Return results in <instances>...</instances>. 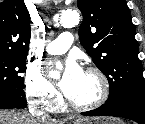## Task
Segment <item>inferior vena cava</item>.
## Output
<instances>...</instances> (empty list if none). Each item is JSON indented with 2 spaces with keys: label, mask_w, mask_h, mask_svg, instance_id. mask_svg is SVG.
I'll list each match as a JSON object with an SVG mask.
<instances>
[{
  "label": "inferior vena cava",
  "mask_w": 145,
  "mask_h": 124,
  "mask_svg": "<svg viewBox=\"0 0 145 124\" xmlns=\"http://www.w3.org/2000/svg\"><path fill=\"white\" fill-rule=\"evenodd\" d=\"M34 115H35V117H37V119H39L40 117H41L42 119L45 118V116H43L41 113H38V112L33 113V116H34Z\"/></svg>",
  "instance_id": "602c4592"
}]
</instances>
